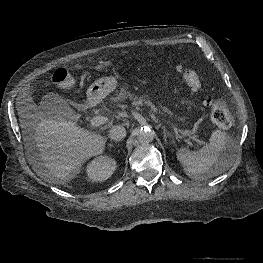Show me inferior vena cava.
<instances>
[{
    "label": "inferior vena cava",
    "instance_id": "obj_1",
    "mask_svg": "<svg viewBox=\"0 0 263 263\" xmlns=\"http://www.w3.org/2000/svg\"><path fill=\"white\" fill-rule=\"evenodd\" d=\"M109 136H110L111 139H113L115 141H121L126 136V130L121 125L113 126L110 129Z\"/></svg>",
    "mask_w": 263,
    "mask_h": 263
}]
</instances>
